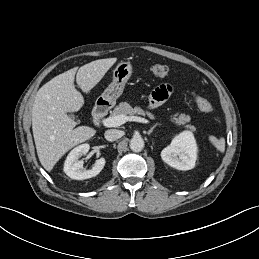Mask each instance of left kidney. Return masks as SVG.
<instances>
[{"label": "left kidney", "mask_w": 259, "mask_h": 259, "mask_svg": "<svg viewBox=\"0 0 259 259\" xmlns=\"http://www.w3.org/2000/svg\"><path fill=\"white\" fill-rule=\"evenodd\" d=\"M162 160L178 170H190L197 159V145L193 134L183 131L161 152Z\"/></svg>", "instance_id": "obj_1"}]
</instances>
